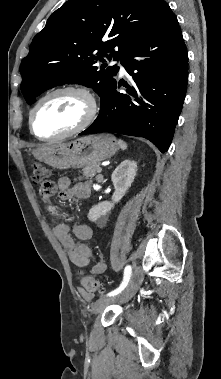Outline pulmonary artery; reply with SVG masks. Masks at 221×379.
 I'll list each match as a JSON object with an SVG mask.
<instances>
[{
  "label": "pulmonary artery",
  "instance_id": "1",
  "mask_svg": "<svg viewBox=\"0 0 221 379\" xmlns=\"http://www.w3.org/2000/svg\"><path fill=\"white\" fill-rule=\"evenodd\" d=\"M114 63H116V64L119 66V68H120V72H121L122 74H125V73H126L125 67H124V65L122 64L121 60H119V59H118V60H115Z\"/></svg>",
  "mask_w": 221,
  "mask_h": 379
}]
</instances>
